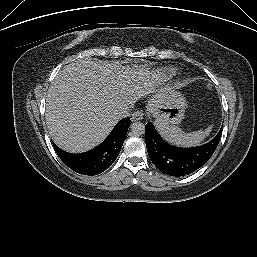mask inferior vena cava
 I'll return each instance as SVG.
<instances>
[{"label":"inferior vena cava","mask_w":257,"mask_h":257,"mask_svg":"<svg viewBox=\"0 0 257 257\" xmlns=\"http://www.w3.org/2000/svg\"><path fill=\"white\" fill-rule=\"evenodd\" d=\"M133 105H124L122 107H120L117 111V116L119 119L121 118H125L130 116V107Z\"/></svg>","instance_id":"inferior-vena-cava-1"}]
</instances>
